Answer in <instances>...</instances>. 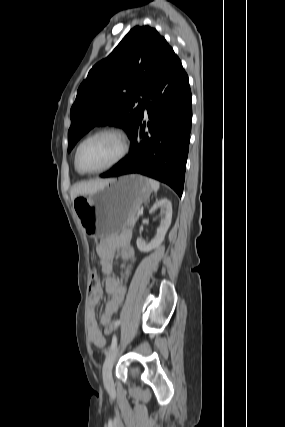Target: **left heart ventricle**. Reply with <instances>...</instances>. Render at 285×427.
Returning <instances> with one entry per match:
<instances>
[{"instance_id":"left-heart-ventricle-1","label":"left heart ventricle","mask_w":285,"mask_h":427,"mask_svg":"<svg viewBox=\"0 0 285 427\" xmlns=\"http://www.w3.org/2000/svg\"><path fill=\"white\" fill-rule=\"evenodd\" d=\"M121 140L112 134L99 135L89 140L81 149L79 163L91 171L107 166L120 154Z\"/></svg>"}]
</instances>
